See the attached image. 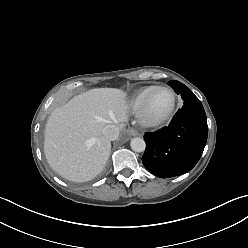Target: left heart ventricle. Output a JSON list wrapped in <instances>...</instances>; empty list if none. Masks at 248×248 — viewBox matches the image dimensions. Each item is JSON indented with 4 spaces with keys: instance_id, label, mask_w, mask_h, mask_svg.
<instances>
[{
    "instance_id": "obj_1",
    "label": "left heart ventricle",
    "mask_w": 248,
    "mask_h": 248,
    "mask_svg": "<svg viewBox=\"0 0 248 248\" xmlns=\"http://www.w3.org/2000/svg\"><path fill=\"white\" fill-rule=\"evenodd\" d=\"M171 104V96L167 91H155L149 102V113L152 116H158L164 113Z\"/></svg>"
}]
</instances>
